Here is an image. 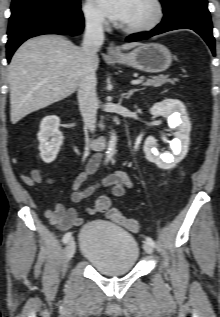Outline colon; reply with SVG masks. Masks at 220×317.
Listing matches in <instances>:
<instances>
[{"mask_svg":"<svg viewBox=\"0 0 220 317\" xmlns=\"http://www.w3.org/2000/svg\"><path fill=\"white\" fill-rule=\"evenodd\" d=\"M103 206L105 208L108 219L115 222L116 224L126 227L131 232H138L141 225L138 220L133 218H127L122 215L116 208L112 207L110 201H104Z\"/></svg>","mask_w":220,"mask_h":317,"instance_id":"colon-1","label":"colon"}]
</instances>
